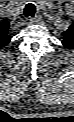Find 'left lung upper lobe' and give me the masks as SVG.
Instances as JSON below:
<instances>
[{"instance_id":"obj_1","label":"left lung upper lobe","mask_w":74,"mask_h":122,"mask_svg":"<svg viewBox=\"0 0 74 122\" xmlns=\"http://www.w3.org/2000/svg\"><path fill=\"white\" fill-rule=\"evenodd\" d=\"M62 44L69 49H74V23L63 32Z\"/></svg>"}]
</instances>
